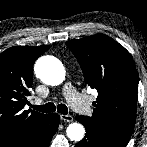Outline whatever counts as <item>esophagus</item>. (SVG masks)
Here are the masks:
<instances>
[{"label": "esophagus", "instance_id": "1", "mask_svg": "<svg viewBox=\"0 0 147 147\" xmlns=\"http://www.w3.org/2000/svg\"><path fill=\"white\" fill-rule=\"evenodd\" d=\"M61 120L65 121V122H72L73 121V117L71 115H60Z\"/></svg>", "mask_w": 147, "mask_h": 147}]
</instances>
